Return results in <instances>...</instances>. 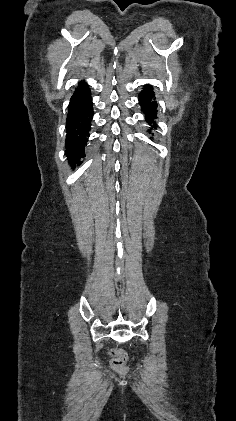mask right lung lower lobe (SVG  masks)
<instances>
[{
	"label": "right lung lower lobe",
	"instance_id": "98d812e1",
	"mask_svg": "<svg viewBox=\"0 0 236 421\" xmlns=\"http://www.w3.org/2000/svg\"><path fill=\"white\" fill-rule=\"evenodd\" d=\"M93 117L89 86L81 82L75 89L68 106L66 119V155L72 165L80 164L85 156V146Z\"/></svg>",
	"mask_w": 236,
	"mask_h": 421
}]
</instances>
